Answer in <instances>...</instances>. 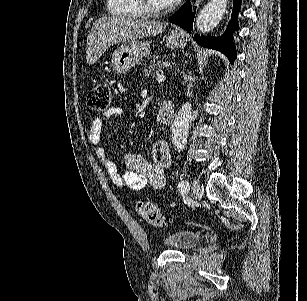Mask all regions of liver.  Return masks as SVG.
<instances>
[{
    "label": "liver",
    "instance_id": "6515ba94",
    "mask_svg": "<svg viewBox=\"0 0 307 301\" xmlns=\"http://www.w3.org/2000/svg\"><path fill=\"white\" fill-rule=\"evenodd\" d=\"M166 24L143 18H128V16H103L93 22L87 36L86 60L94 64L105 52L106 48L119 42L136 40L144 36H156L165 30Z\"/></svg>",
    "mask_w": 307,
    "mask_h": 301
}]
</instances>
